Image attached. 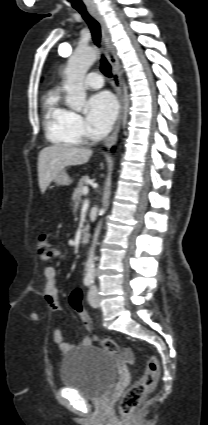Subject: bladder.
<instances>
[{
  "label": "bladder",
  "mask_w": 208,
  "mask_h": 425,
  "mask_svg": "<svg viewBox=\"0 0 208 425\" xmlns=\"http://www.w3.org/2000/svg\"><path fill=\"white\" fill-rule=\"evenodd\" d=\"M117 380L113 355L95 346L79 347L64 357L61 381L91 401L109 394Z\"/></svg>",
  "instance_id": "31cf9c89"
}]
</instances>
